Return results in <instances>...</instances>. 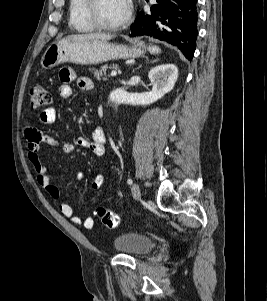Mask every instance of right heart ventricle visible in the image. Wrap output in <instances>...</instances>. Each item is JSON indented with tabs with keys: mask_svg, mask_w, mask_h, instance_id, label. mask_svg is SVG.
Here are the masks:
<instances>
[{
	"mask_svg": "<svg viewBox=\"0 0 267 301\" xmlns=\"http://www.w3.org/2000/svg\"><path fill=\"white\" fill-rule=\"evenodd\" d=\"M87 0L69 1V26L79 33H90L96 28L89 21L86 14Z\"/></svg>",
	"mask_w": 267,
	"mask_h": 301,
	"instance_id": "right-heart-ventricle-1",
	"label": "right heart ventricle"
}]
</instances>
